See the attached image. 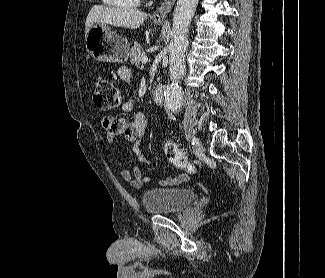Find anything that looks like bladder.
Listing matches in <instances>:
<instances>
[{
  "label": "bladder",
  "instance_id": "bladder-1",
  "mask_svg": "<svg viewBox=\"0 0 325 278\" xmlns=\"http://www.w3.org/2000/svg\"><path fill=\"white\" fill-rule=\"evenodd\" d=\"M196 194L188 187L153 188L141 195L146 211L151 215L181 212L195 200Z\"/></svg>",
  "mask_w": 325,
  "mask_h": 278
}]
</instances>
